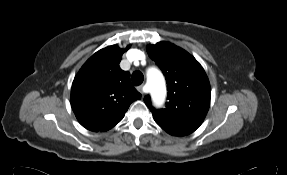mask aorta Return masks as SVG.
Returning a JSON list of instances; mask_svg holds the SVG:
<instances>
[{
    "instance_id": "aorta-1",
    "label": "aorta",
    "mask_w": 287,
    "mask_h": 175,
    "mask_svg": "<svg viewBox=\"0 0 287 175\" xmlns=\"http://www.w3.org/2000/svg\"><path fill=\"white\" fill-rule=\"evenodd\" d=\"M147 81L153 86L155 95L162 100L165 95V82L163 75L157 69H150L147 73Z\"/></svg>"
}]
</instances>
